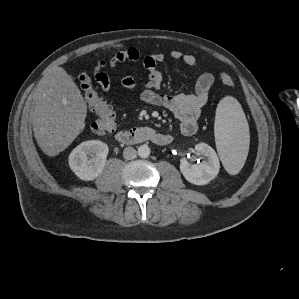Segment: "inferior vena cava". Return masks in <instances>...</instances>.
Masks as SVG:
<instances>
[{
	"mask_svg": "<svg viewBox=\"0 0 299 299\" xmlns=\"http://www.w3.org/2000/svg\"><path fill=\"white\" fill-rule=\"evenodd\" d=\"M137 152L133 147H126L123 151V156L127 160L136 158Z\"/></svg>",
	"mask_w": 299,
	"mask_h": 299,
	"instance_id": "602c4592",
	"label": "inferior vena cava"
}]
</instances>
